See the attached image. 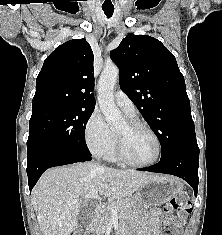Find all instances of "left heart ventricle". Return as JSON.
<instances>
[{
	"label": "left heart ventricle",
	"mask_w": 222,
	"mask_h": 235,
	"mask_svg": "<svg viewBox=\"0 0 222 235\" xmlns=\"http://www.w3.org/2000/svg\"><path fill=\"white\" fill-rule=\"evenodd\" d=\"M124 140L125 149L130 157L135 162L145 163L155 158L157 154V143L154 137L145 130H131L124 122L116 130Z\"/></svg>",
	"instance_id": "left-heart-ventricle-1"
}]
</instances>
